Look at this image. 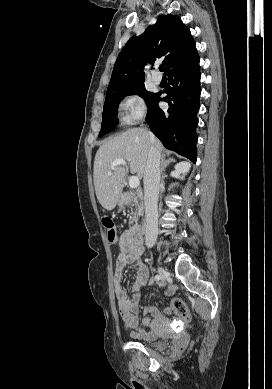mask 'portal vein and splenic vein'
Returning a JSON list of instances; mask_svg holds the SVG:
<instances>
[{
	"mask_svg": "<svg viewBox=\"0 0 272 389\" xmlns=\"http://www.w3.org/2000/svg\"><path fill=\"white\" fill-rule=\"evenodd\" d=\"M119 165H126V161L124 159H116L114 160V162L111 164V168L114 169L115 167L119 166ZM109 175H111V173L109 172ZM140 184V181H139V178L136 177V176H132L129 178V186L132 188V189H135L139 186Z\"/></svg>",
	"mask_w": 272,
	"mask_h": 389,
	"instance_id": "1",
	"label": "portal vein and splenic vein"
}]
</instances>
